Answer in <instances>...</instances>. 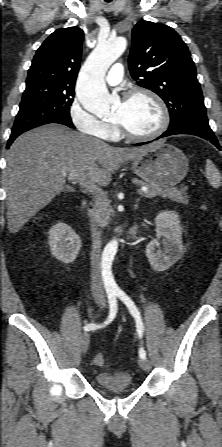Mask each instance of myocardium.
I'll use <instances>...</instances> for the list:
<instances>
[{"label":"myocardium","instance_id":"1","mask_svg":"<svg viewBox=\"0 0 222 447\" xmlns=\"http://www.w3.org/2000/svg\"><path fill=\"white\" fill-rule=\"evenodd\" d=\"M144 95L149 97L158 107L161 115V122L159 127L149 134L139 135L132 133L130 130H128L123 123L120 121L114 120V124L118 130V132L125 138L132 140V141H148L155 139L159 136H161L168 128L170 124V113L168 110L167 105L162 100V98L153 92L152 90L146 89V88H137L133 89L130 92H128L125 95L124 101H128L136 96Z\"/></svg>","mask_w":222,"mask_h":447}]
</instances>
